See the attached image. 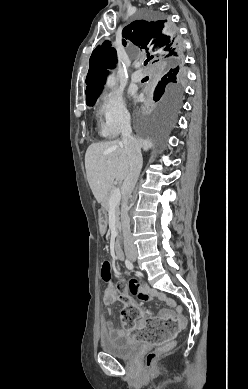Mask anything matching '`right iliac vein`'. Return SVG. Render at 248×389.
<instances>
[{
  "label": "right iliac vein",
  "instance_id": "obj_1",
  "mask_svg": "<svg viewBox=\"0 0 248 389\" xmlns=\"http://www.w3.org/2000/svg\"><path fill=\"white\" fill-rule=\"evenodd\" d=\"M129 258H130L132 261H134V260H136V255H131V256H129Z\"/></svg>",
  "mask_w": 248,
  "mask_h": 389
}]
</instances>
